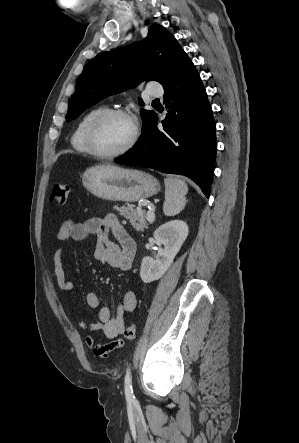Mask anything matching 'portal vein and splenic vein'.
<instances>
[{"label": "portal vein and splenic vein", "instance_id": "1", "mask_svg": "<svg viewBox=\"0 0 299 443\" xmlns=\"http://www.w3.org/2000/svg\"><path fill=\"white\" fill-rule=\"evenodd\" d=\"M146 219H147L148 222L153 223L154 220H155V214H154V212L149 211V212L147 213V218H146Z\"/></svg>", "mask_w": 299, "mask_h": 443}]
</instances>
